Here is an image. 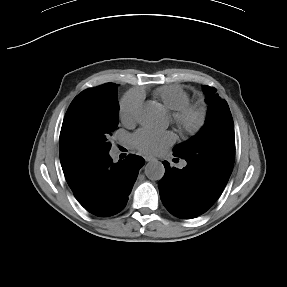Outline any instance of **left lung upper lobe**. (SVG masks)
Masks as SVG:
<instances>
[{
    "label": "left lung upper lobe",
    "instance_id": "obj_1",
    "mask_svg": "<svg viewBox=\"0 0 287 287\" xmlns=\"http://www.w3.org/2000/svg\"><path fill=\"white\" fill-rule=\"evenodd\" d=\"M209 103L206 123L190 140L173 148L174 156L210 175L211 183L225 186L235 159L234 124L229 106L218 98L216 89L204 86Z\"/></svg>",
    "mask_w": 287,
    "mask_h": 287
}]
</instances>
